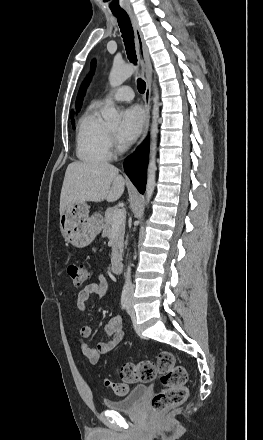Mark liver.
Segmentation results:
<instances>
[{
  "label": "liver",
  "instance_id": "6515ba94",
  "mask_svg": "<svg viewBox=\"0 0 263 440\" xmlns=\"http://www.w3.org/2000/svg\"><path fill=\"white\" fill-rule=\"evenodd\" d=\"M125 189V179L107 162L75 161L67 166L60 195V215L72 203L117 201Z\"/></svg>",
  "mask_w": 263,
  "mask_h": 440
}]
</instances>
